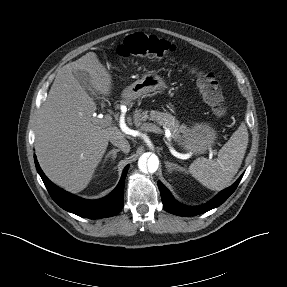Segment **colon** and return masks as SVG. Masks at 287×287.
I'll return each instance as SVG.
<instances>
[{"label":"colon","mask_w":287,"mask_h":287,"mask_svg":"<svg viewBox=\"0 0 287 287\" xmlns=\"http://www.w3.org/2000/svg\"><path fill=\"white\" fill-rule=\"evenodd\" d=\"M174 49L175 47L165 39L138 32L127 36L116 48V53L121 57L162 58L169 56ZM196 74L203 99L211 107L214 114L223 115L225 113L224 95L215 75L207 71H197Z\"/></svg>","instance_id":"5ec220e1"}]
</instances>
